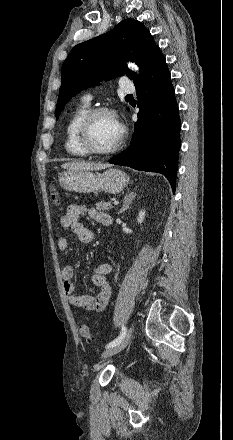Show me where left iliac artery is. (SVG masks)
<instances>
[{
    "mask_svg": "<svg viewBox=\"0 0 233 440\" xmlns=\"http://www.w3.org/2000/svg\"><path fill=\"white\" fill-rule=\"evenodd\" d=\"M126 327L125 326H122V329H121V333H120V335L116 338V339H114L113 341H111L109 344H107V348H110V347H113V346H115L116 344H118L124 337H125V334H126Z\"/></svg>",
    "mask_w": 233,
    "mask_h": 440,
    "instance_id": "1",
    "label": "left iliac artery"
}]
</instances>
